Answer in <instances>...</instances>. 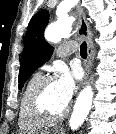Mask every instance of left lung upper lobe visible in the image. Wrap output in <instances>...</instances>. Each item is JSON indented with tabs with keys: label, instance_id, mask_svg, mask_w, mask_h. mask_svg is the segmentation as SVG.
<instances>
[{
	"label": "left lung upper lobe",
	"instance_id": "1",
	"mask_svg": "<svg viewBox=\"0 0 116 134\" xmlns=\"http://www.w3.org/2000/svg\"><path fill=\"white\" fill-rule=\"evenodd\" d=\"M48 21V11L42 10L37 12L28 24L20 62L19 89L23 87L30 75L49 60L53 53V47L44 39V30Z\"/></svg>",
	"mask_w": 116,
	"mask_h": 134
}]
</instances>
